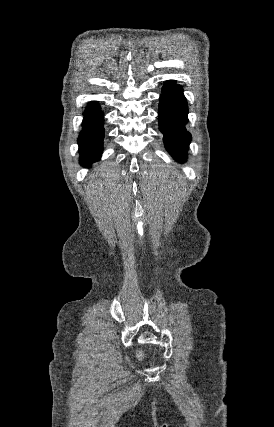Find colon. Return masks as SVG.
<instances>
[{"label": "colon", "instance_id": "5ec220e1", "mask_svg": "<svg viewBox=\"0 0 274 427\" xmlns=\"http://www.w3.org/2000/svg\"><path fill=\"white\" fill-rule=\"evenodd\" d=\"M140 357H141V353H137L136 358H140Z\"/></svg>", "mask_w": 274, "mask_h": 427}]
</instances>
